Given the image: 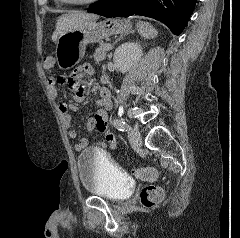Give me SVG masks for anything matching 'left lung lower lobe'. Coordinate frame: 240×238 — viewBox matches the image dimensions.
Returning <instances> with one entry per match:
<instances>
[{
	"label": "left lung lower lobe",
	"instance_id": "1",
	"mask_svg": "<svg viewBox=\"0 0 240 238\" xmlns=\"http://www.w3.org/2000/svg\"><path fill=\"white\" fill-rule=\"evenodd\" d=\"M197 0H100L88 12L104 17L148 16L163 22L175 35L185 28Z\"/></svg>",
	"mask_w": 240,
	"mask_h": 238
}]
</instances>
